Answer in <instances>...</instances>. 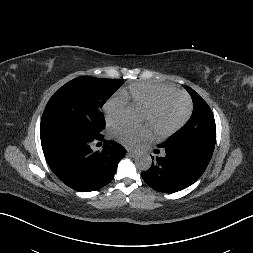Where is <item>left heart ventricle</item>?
Here are the masks:
<instances>
[{
  "label": "left heart ventricle",
  "instance_id": "obj_1",
  "mask_svg": "<svg viewBox=\"0 0 253 253\" xmlns=\"http://www.w3.org/2000/svg\"><path fill=\"white\" fill-rule=\"evenodd\" d=\"M184 111L185 105L182 100L177 97H168L162 101L152 116H149V114L144 111L143 120L151 126H155L159 129H167L181 119Z\"/></svg>",
  "mask_w": 253,
  "mask_h": 253
}]
</instances>
